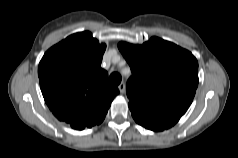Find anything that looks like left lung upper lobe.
Returning <instances> with one entry per match:
<instances>
[{
	"label": "left lung upper lobe",
	"mask_w": 238,
	"mask_h": 158,
	"mask_svg": "<svg viewBox=\"0 0 238 158\" xmlns=\"http://www.w3.org/2000/svg\"><path fill=\"white\" fill-rule=\"evenodd\" d=\"M130 65L129 108L150 116L184 115L198 86V62L189 51L152 37L142 45L120 42Z\"/></svg>",
	"instance_id": "1"
}]
</instances>
